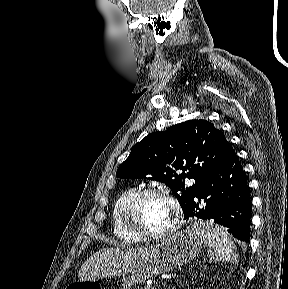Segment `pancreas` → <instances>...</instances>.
<instances>
[{"label": "pancreas", "mask_w": 288, "mask_h": 289, "mask_svg": "<svg viewBox=\"0 0 288 289\" xmlns=\"http://www.w3.org/2000/svg\"><path fill=\"white\" fill-rule=\"evenodd\" d=\"M140 289H153L151 286H144L143 288Z\"/></svg>", "instance_id": "obj_1"}]
</instances>
